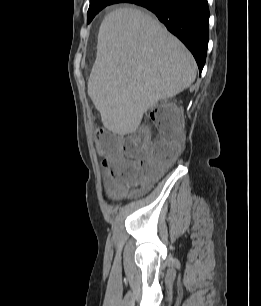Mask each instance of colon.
<instances>
[{"mask_svg":"<svg viewBox=\"0 0 261 306\" xmlns=\"http://www.w3.org/2000/svg\"><path fill=\"white\" fill-rule=\"evenodd\" d=\"M151 120L157 130V137L153 141L147 126H141L124 140L112 134L98 136V150L116 162L110 175L105 177L108 190L147 185L156 180L177 158L183 142L184 127L180 113L162 104L152 109Z\"/></svg>","mask_w":261,"mask_h":306,"instance_id":"1","label":"colon"}]
</instances>
